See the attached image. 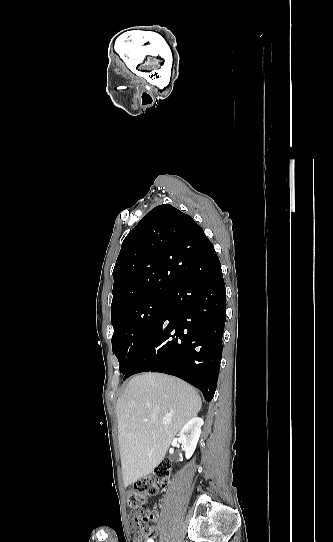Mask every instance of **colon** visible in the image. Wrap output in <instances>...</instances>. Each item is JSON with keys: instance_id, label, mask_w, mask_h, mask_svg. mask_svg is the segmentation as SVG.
<instances>
[{"instance_id": "obj_1", "label": "colon", "mask_w": 333, "mask_h": 542, "mask_svg": "<svg viewBox=\"0 0 333 542\" xmlns=\"http://www.w3.org/2000/svg\"><path fill=\"white\" fill-rule=\"evenodd\" d=\"M170 467L171 463L164 460L152 471V475L138 479L134 488L128 492L127 504L130 507L128 514L133 528L130 533L132 540H143L145 535L152 532V527L147 525L153 519V516L146 512L147 497L157 495L168 483Z\"/></svg>"}]
</instances>
